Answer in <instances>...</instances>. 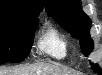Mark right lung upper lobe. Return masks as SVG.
<instances>
[{
	"label": "right lung upper lobe",
	"instance_id": "obj_1",
	"mask_svg": "<svg viewBox=\"0 0 102 75\" xmlns=\"http://www.w3.org/2000/svg\"><path fill=\"white\" fill-rule=\"evenodd\" d=\"M44 0H0V12L28 17L39 16Z\"/></svg>",
	"mask_w": 102,
	"mask_h": 75
}]
</instances>
